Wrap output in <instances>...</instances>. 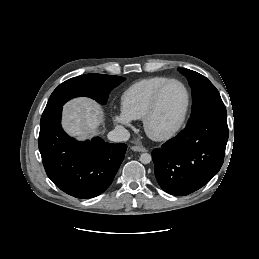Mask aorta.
Listing matches in <instances>:
<instances>
[{
  "label": "aorta",
  "instance_id": "aorta-1",
  "mask_svg": "<svg viewBox=\"0 0 259 259\" xmlns=\"http://www.w3.org/2000/svg\"><path fill=\"white\" fill-rule=\"evenodd\" d=\"M151 160H152V158H151V155L149 153H143L140 156V161L143 164H148V163L151 162Z\"/></svg>",
  "mask_w": 259,
  "mask_h": 259
}]
</instances>
